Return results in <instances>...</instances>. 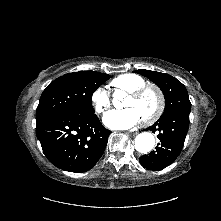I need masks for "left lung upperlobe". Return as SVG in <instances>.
Returning a JSON list of instances; mask_svg holds the SVG:
<instances>
[{"label":"left lung upper lobe","instance_id":"5c2ea615","mask_svg":"<svg viewBox=\"0 0 221 221\" xmlns=\"http://www.w3.org/2000/svg\"><path fill=\"white\" fill-rule=\"evenodd\" d=\"M135 72L146 76L162 90L165 97V109L159 119L177 112L190 113L191 102L187 89L179 80L169 74L151 70L140 69Z\"/></svg>","mask_w":221,"mask_h":221}]
</instances>
